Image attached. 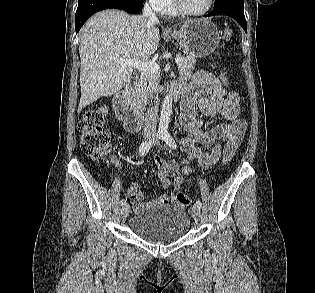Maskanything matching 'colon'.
<instances>
[{"mask_svg": "<svg viewBox=\"0 0 315 293\" xmlns=\"http://www.w3.org/2000/svg\"><path fill=\"white\" fill-rule=\"evenodd\" d=\"M232 35L233 31L231 28H226L223 32L225 40H230ZM223 83L229 85L231 80L225 78ZM106 118L107 109L99 107L86 111L79 123L81 149L87 156L93 159H100L105 156L112 146L110 134L103 129ZM230 160L231 155L229 153L224 154L223 163L228 164ZM176 203L182 207H186L191 204V199L186 194L179 193L176 195Z\"/></svg>", "mask_w": 315, "mask_h": 293, "instance_id": "obj_1", "label": "colon"}]
</instances>
